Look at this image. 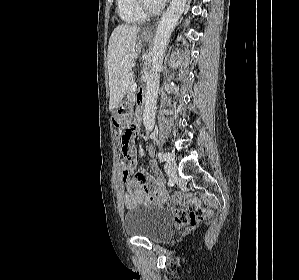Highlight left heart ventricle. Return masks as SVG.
Wrapping results in <instances>:
<instances>
[{
    "label": "left heart ventricle",
    "mask_w": 299,
    "mask_h": 280,
    "mask_svg": "<svg viewBox=\"0 0 299 280\" xmlns=\"http://www.w3.org/2000/svg\"><path fill=\"white\" fill-rule=\"evenodd\" d=\"M146 1L150 7H155L158 5L154 0H146Z\"/></svg>",
    "instance_id": "obj_1"
}]
</instances>
